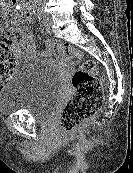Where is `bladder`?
Masks as SVG:
<instances>
[{
  "label": "bladder",
  "mask_w": 133,
  "mask_h": 173,
  "mask_svg": "<svg viewBox=\"0 0 133 173\" xmlns=\"http://www.w3.org/2000/svg\"><path fill=\"white\" fill-rule=\"evenodd\" d=\"M64 85L51 64L28 59L21 61L0 90V113H29L38 122L52 119L62 98Z\"/></svg>",
  "instance_id": "31cf9c89"
}]
</instances>
